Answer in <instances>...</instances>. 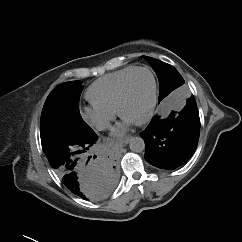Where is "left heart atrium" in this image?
I'll return each instance as SVG.
<instances>
[{
	"label": "left heart atrium",
	"mask_w": 242,
	"mask_h": 242,
	"mask_svg": "<svg viewBox=\"0 0 242 242\" xmlns=\"http://www.w3.org/2000/svg\"><path fill=\"white\" fill-rule=\"evenodd\" d=\"M133 123V121L123 117L122 123H120L117 127L113 129L112 134L117 137L123 135L127 128Z\"/></svg>",
	"instance_id": "1"
}]
</instances>
